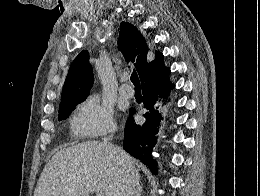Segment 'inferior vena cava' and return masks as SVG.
<instances>
[{"instance_id":"602c4592","label":"inferior vena cava","mask_w":260,"mask_h":196,"mask_svg":"<svg viewBox=\"0 0 260 196\" xmlns=\"http://www.w3.org/2000/svg\"><path fill=\"white\" fill-rule=\"evenodd\" d=\"M114 134H111V136H108V138H104V142H102L103 146H112V144H110L112 138H113ZM121 158V156H120ZM122 160H124V158H122ZM123 196H131V194H129V192H127V194H123Z\"/></svg>"}]
</instances>
